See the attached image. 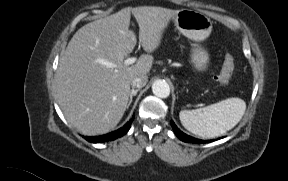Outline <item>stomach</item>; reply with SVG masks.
I'll list each match as a JSON object with an SVG mask.
<instances>
[{"label":"stomach","mask_w":288,"mask_h":181,"mask_svg":"<svg viewBox=\"0 0 288 181\" xmlns=\"http://www.w3.org/2000/svg\"><path fill=\"white\" fill-rule=\"evenodd\" d=\"M177 29L187 38L201 42L212 31L211 20L201 12L190 9H181L173 18ZM191 63L197 71H205L209 64V53L198 44L191 50Z\"/></svg>","instance_id":"1"}]
</instances>
